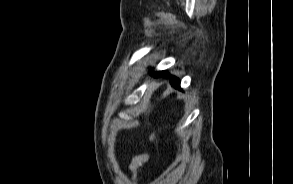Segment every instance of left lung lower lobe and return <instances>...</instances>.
Returning a JSON list of instances; mask_svg holds the SVG:
<instances>
[{
    "mask_svg": "<svg viewBox=\"0 0 293 184\" xmlns=\"http://www.w3.org/2000/svg\"><path fill=\"white\" fill-rule=\"evenodd\" d=\"M154 77H160V76H164L166 78H170V83L174 88L180 89V82L178 80V78L173 77V76H169L168 73H166L165 71H160V72H156L153 74Z\"/></svg>",
    "mask_w": 293,
    "mask_h": 184,
    "instance_id": "0a47b994",
    "label": "left lung lower lobe"
}]
</instances>
